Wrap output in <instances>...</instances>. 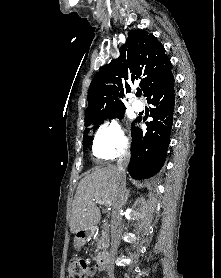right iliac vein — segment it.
Masks as SVG:
<instances>
[{"label":"right iliac vein","instance_id":"63e3f726","mask_svg":"<svg viewBox=\"0 0 221 278\" xmlns=\"http://www.w3.org/2000/svg\"><path fill=\"white\" fill-rule=\"evenodd\" d=\"M110 278H115L114 276H110Z\"/></svg>","mask_w":221,"mask_h":278}]
</instances>
